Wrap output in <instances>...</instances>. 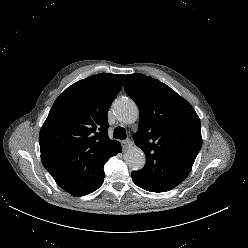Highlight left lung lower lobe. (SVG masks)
<instances>
[{
    "label": "left lung lower lobe",
    "instance_id": "0a47b994",
    "mask_svg": "<svg viewBox=\"0 0 248 248\" xmlns=\"http://www.w3.org/2000/svg\"><path fill=\"white\" fill-rule=\"evenodd\" d=\"M131 176H132V180L133 182L139 186L140 188H143L147 191H151V192H160V191H154L152 189H149L147 186H146V183L143 181L142 179V176L140 175V173L138 171H133L131 173Z\"/></svg>",
    "mask_w": 248,
    "mask_h": 248
}]
</instances>
